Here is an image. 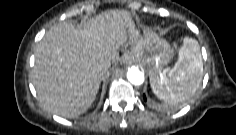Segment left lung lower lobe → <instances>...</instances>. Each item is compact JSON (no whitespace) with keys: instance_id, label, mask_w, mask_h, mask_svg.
Segmentation results:
<instances>
[{"instance_id":"0a47b994","label":"left lung lower lobe","mask_w":236,"mask_h":135,"mask_svg":"<svg viewBox=\"0 0 236 135\" xmlns=\"http://www.w3.org/2000/svg\"><path fill=\"white\" fill-rule=\"evenodd\" d=\"M144 100L146 101V97H145V95H144Z\"/></svg>"}]
</instances>
